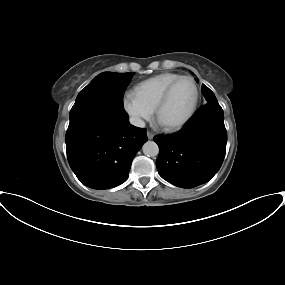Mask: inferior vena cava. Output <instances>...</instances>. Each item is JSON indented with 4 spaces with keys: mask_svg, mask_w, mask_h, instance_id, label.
Returning <instances> with one entry per match:
<instances>
[{
    "mask_svg": "<svg viewBox=\"0 0 285 285\" xmlns=\"http://www.w3.org/2000/svg\"><path fill=\"white\" fill-rule=\"evenodd\" d=\"M130 123L136 127H140V128H144L145 127V123L142 119L138 118V117H131L130 118Z\"/></svg>",
    "mask_w": 285,
    "mask_h": 285,
    "instance_id": "602c4592",
    "label": "inferior vena cava"
}]
</instances>
